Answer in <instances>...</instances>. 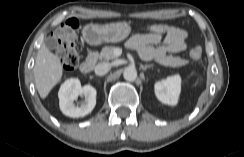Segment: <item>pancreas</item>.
Segmentation results:
<instances>
[{
    "mask_svg": "<svg viewBox=\"0 0 244 157\" xmlns=\"http://www.w3.org/2000/svg\"><path fill=\"white\" fill-rule=\"evenodd\" d=\"M116 47L114 46H105L102 48L101 53L99 54L100 59H106V60H113L116 59L117 56L115 55ZM155 61L159 63L160 65L166 66V67H180L188 64V60L182 59L181 57L177 56L174 57L172 55H162V56H156Z\"/></svg>",
    "mask_w": 244,
    "mask_h": 157,
    "instance_id": "obj_1",
    "label": "pancreas"
}]
</instances>
